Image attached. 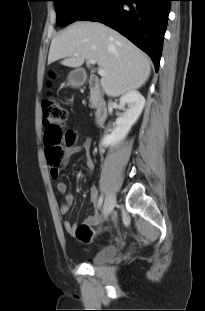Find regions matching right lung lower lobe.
I'll return each instance as SVG.
<instances>
[{
    "label": "right lung lower lobe",
    "instance_id": "1",
    "mask_svg": "<svg viewBox=\"0 0 205 311\" xmlns=\"http://www.w3.org/2000/svg\"><path fill=\"white\" fill-rule=\"evenodd\" d=\"M172 0H100L79 20L106 24L146 52L158 70Z\"/></svg>",
    "mask_w": 205,
    "mask_h": 311
}]
</instances>
